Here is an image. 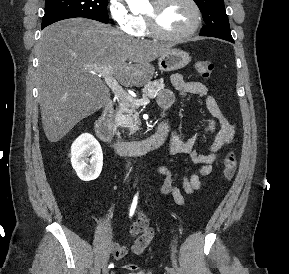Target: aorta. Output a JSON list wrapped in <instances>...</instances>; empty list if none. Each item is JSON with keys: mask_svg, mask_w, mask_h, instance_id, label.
<instances>
[{"mask_svg": "<svg viewBox=\"0 0 289 274\" xmlns=\"http://www.w3.org/2000/svg\"><path fill=\"white\" fill-rule=\"evenodd\" d=\"M126 2L130 7L134 9H140L148 2V0H126Z\"/></svg>", "mask_w": 289, "mask_h": 274, "instance_id": "obj_1", "label": "aorta"}]
</instances>
